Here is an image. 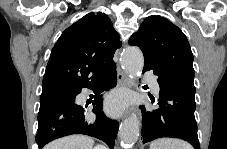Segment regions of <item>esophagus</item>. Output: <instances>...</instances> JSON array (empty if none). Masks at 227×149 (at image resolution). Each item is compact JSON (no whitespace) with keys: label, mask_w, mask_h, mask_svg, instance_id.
<instances>
[{"label":"esophagus","mask_w":227,"mask_h":149,"mask_svg":"<svg viewBox=\"0 0 227 149\" xmlns=\"http://www.w3.org/2000/svg\"><path fill=\"white\" fill-rule=\"evenodd\" d=\"M117 81L119 86H125L128 84V78L122 70H118L117 72ZM135 115L134 111H124L122 114V119H129L130 116L133 117Z\"/></svg>","instance_id":"obj_1"}]
</instances>
